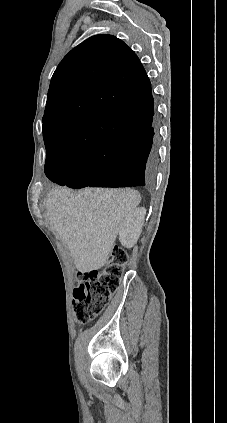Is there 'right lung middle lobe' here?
I'll use <instances>...</instances> for the list:
<instances>
[{"mask_svg": "<svg viewBox=\"0 0 227 423\" xmlns=\"http://www.w3.org/2000/svg\"><path fill=\"white\" fill-rule=\"evenodd\" d=\"M46 163L52 161H74L80 159L85 151L72 149L55 142H46Z\"/></svg>", "mask_w": 227, "mask_h": 423, "instance_id": "1", "label": "right lung middle lobe"}]
</instances>
